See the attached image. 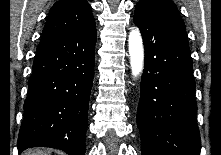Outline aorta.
Returning a JSON list of instances; mask_svg holds the SVG:
<instances>
[{
    "instance_id": "aorta-1",
    "label": "aorta",
    "mask_w": 221,
    "mask_h": 155,
    "mask_svg": "<svg viewBox=\"0 0 221 155\" xmlns=\"http://www.w3.org/2000/svg\"><path fill=\"white\" fill-rule=\"evenodd\" d=\"M128 48L132 75L138 77L144 66L143 41L138 29H133L129 33Z\"/></svg>"
}]
</instances>
